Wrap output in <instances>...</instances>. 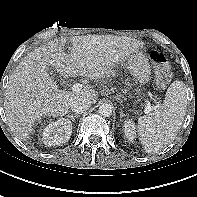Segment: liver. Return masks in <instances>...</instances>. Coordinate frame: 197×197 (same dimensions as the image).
I'll list each match as a JSON object with an SVG mask.
<instances>
[{
    "label": "liver",
    "instance_id": "obj_1",
    "mask_svg": "<svg viewBox=\"0 0 197 197\" xmlns=\"http://www.w3.org/2000/svg\"><path fill=\"white\" fill-rule=\"evenodd\" d=\"M70 42V54L64 51L65 38L40 46L19 63L9 78L4 109L9 127L22 141L29 139L35 121L42 116L66 115L78 97L93 103L98 98L93 87L79 92L60 90L47 67H54L65 78L80 75L102 81L105 76L115 77L116 64L144 46L137 39L114 35L75 36Z\"/></svg>",
    "mask_w": 197,
    "mask_h": 197
}]
</instances>
